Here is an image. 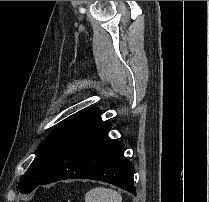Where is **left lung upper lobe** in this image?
<instances>
[{
	"mask_svg": "<svg viewBox=\"0 0 209 202\" xmlns=\"http://www.w3.org/2000/svg\"><path fill=\"white\" fill-rule=\"evenodd\" d=\"M98 111L92 107L68 118L58 125L45 139L40 152L19 182L20 192H32L49 174L61 148L74 131L91 115Z\"/></svg>",
	"mask_w": 209,
	"mask_h": 202,
	"instance_id": "left-lung-upper-lobe-1",
	"label": "left lung upper lobe"
}]
</instances>
